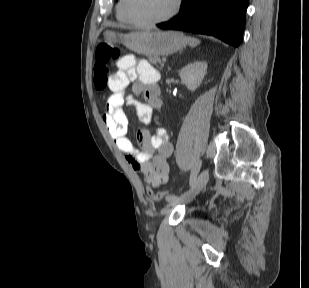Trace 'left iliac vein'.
I'll list each match as a JSON object with an SVG mask.
<instances>
[{
  "instance_id": "left-iliac-vein-1",
  "label": "left iliac vein",
  "mask_w": 309,
  "mask_h": 288,
  "mask_svg": "<svg viewBox=\"0 0 309 288\" xmlns=\"http://www.w3.org/2000/svg\"><path fill=\"white\" fill-rule=\"evenodd\" d=\"M208 179H209V172L208 170L205 169L199 174L194 185L189 190L190 191L189 194L185 197H177L173 200L168 201L169 202L168 206H175L181 202L191 200L194 197H196L205 188Z\"/></svg>"
}]
</instances>
